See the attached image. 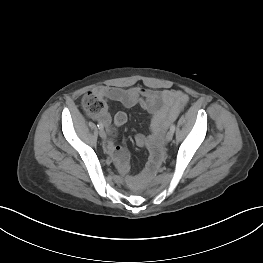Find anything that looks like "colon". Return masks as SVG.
Wrapping results in <instances>:
<instances>
[{"mask_svg":"<svg viewBox=\"0 0 263 263\" xmlns=\"http://www.w3.org/2000/svg\"><path fill=\"white\" fill-rule=\"evenodd\" d=\"M82 106L91 117H100L105 112L104 100L92 92L84 95L82 98Z\"/></svg>","mask_w":263,"mask_h":263,"instance_id":"5ec220e1","label":"colon"}]
</instances>
